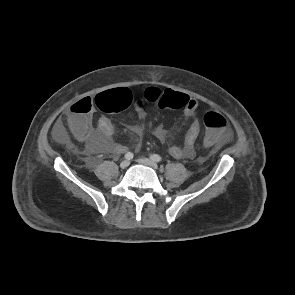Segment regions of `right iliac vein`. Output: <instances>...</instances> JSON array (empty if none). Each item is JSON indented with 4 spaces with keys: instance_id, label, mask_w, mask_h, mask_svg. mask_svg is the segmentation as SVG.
I'll use <instances>...</instances> for the list:
<instances>
[{
    "instance_id": "63e3f726",
    "label": "right iliac vein",
    "mask_w": 295,
    "mask_h": 295,
    "mask_svg": "<svg viewBox=\"0 0 295 295\" xmlns=\"http://www.w3.org/2000/svg\"><path fill=\"white\" fill-rule=\"evenodd\" d=\"M129 166V161L128 160H123L121 163H120V167L122 169H125Z\"/></svg>"
}]
</instances>
